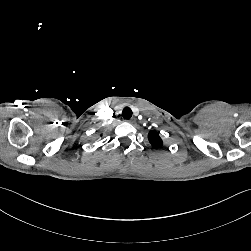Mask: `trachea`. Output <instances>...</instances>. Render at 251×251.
I'll use <instances>...</instances> for the list:
<instances>
[{"label":"trachea","instance_id":"trachea-1","mask_svg":"<svg viewBox=\"0 0 251 251\" xmlns=\"http://www.w3.org/2000/svg\"><path fill=\"white\" fill-rule=\"evenodd\" d=\"M124 119H130L132 117V110L129 107H125L122 111Z\"/></svg>","mask_w":251,"mask_h":251}]
</instances>
